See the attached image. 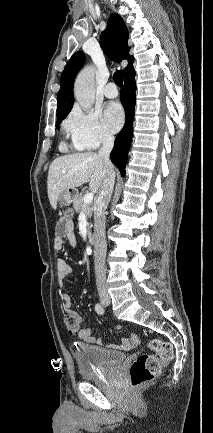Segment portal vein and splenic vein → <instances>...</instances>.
Segmentation results:
<instances>
[{
	"label": "portal vein and splenic vein",
	"instance_id": "1",
	"mask_svg": "<svg viewBox=\"0 0 213 433\" xmlns=\"http://www.w3.org/2000/svg\"><path fill=\"white\" fill-rule=\"evenodd\" d=\"M93 197H94L93 192H91V193H87V194L84 196V198H83L84 203H85V204L91 203L92 200H93Z\"/></svg>",
	"mask_w": 213,
	"mask_h": 433
}]
</instances>
